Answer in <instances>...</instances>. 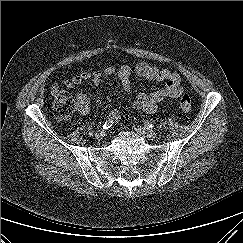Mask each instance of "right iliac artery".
<instances>
[{
    "label": "right iliac artery",
    "mask_w": 243,
    "mask_h": 243,
    "mask_svg": "<svg viewBox=\"0 0 243 243\" xmlns=\"http://www.w3.org/2000/svg\"><path fill=\"white\" fill-rule=\"evenodd\" d=\"M119 119V117H115V118H109L104 124H103V129H109L117 120Z\"/></svg>",
    "instance_id": "1"
}]
</instances>
